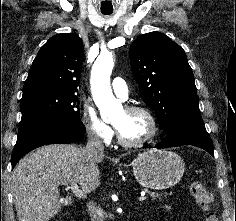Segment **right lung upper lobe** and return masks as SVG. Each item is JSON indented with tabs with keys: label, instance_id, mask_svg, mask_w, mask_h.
<instances>
[{
	"label": "right lung upper lobe",
	"instance_id": "obj_1",
	"mask_svg": "<svg viewBox=\"0 0 236 221\" xmlns=\"http://www.w3.org/2000/svg\"><path fill=\"white\" fill-rule=\"evenodd\" d=\"M84 47L76 34H57L39 50L23 87V94L48 90L78 92Z\"/></svg>",
	"mask_w": 236,
	"mask_h": 221
}]
</instances>
